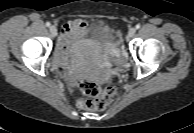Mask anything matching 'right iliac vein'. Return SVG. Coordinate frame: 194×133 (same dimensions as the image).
Returning <instances> with one entry per match:
<instances>
[{"mask_svg": "<svg viewBox=\"0 0 194 133\" xmlns=\"http://www.w3.org/2000/svg\"><path fill=\"white\" fill-rule=\"evenodd\" d=\"M50 33L53 37H55L57 35V28L55 26H51Z\"/></svg>", "mask_w": 194, "mask_h": 133, "instance_id": "1", "label": "right iliac vein"}]
</instances>
